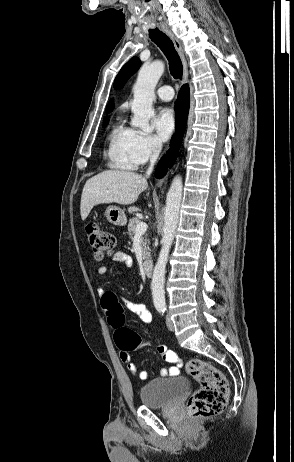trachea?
Returning a JSON list of instances; mask_svg holds the SVG:
<instances>
[{
	"mask_svg": "<svg viewBox=\"0 0 294 462\" xmlns=\"http://www.w3.org/2000/svg\"><path fill=\"white\" fill-rule=\"evenodd\" d=\"M151 40L161 49L169 62L170 73L174 79H181L183 66L181 59L174 48L173 42L158 28L149 31Z\"/></svg>",
	"mask_w": 294,
	"mask_h": 462,
	"instance_id": "obj_1",
	"label": "trachea"
}]
</instances>
